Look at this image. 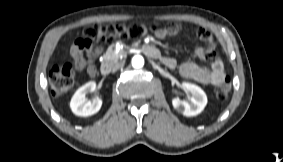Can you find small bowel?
I'll list each match as a JSON object with an SVG mask.
<instances>
[{"instance_id":"c3829d8e","label":"small bowel","mask_w":283,"mask_h":162,"mask_svg":"<svg viewBox=\"0 0 283 162\" xmlns=\"http://www.w3.org/2000/svg\"><path fill=\"white\" fill-rule=\"evenodd\" d=\"M181 26L177 23H171L155 32L159 39L168 36L175 37L179 34ZM200 39L206 42V47L195 49V55L200 60H212L211 67L200 66L193 61H186L180 65V73L183 77L193 79L206 85H218L226 78L224 64L222 60L214 55L215 45L210 33L205 28H200L197 32ZM101 53V48H95L84 38L77 39L70 49L72 64L75 69H85L88 75L96 79L100 75L94 61ZM162 62L169 68H175L177 63L172 57H162Z\"/></svg>"}]
</instances>
